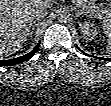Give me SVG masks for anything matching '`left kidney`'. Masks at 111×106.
<instances>
[{
	"label": "left kidney",
	"instance_id": "5707ae66",
	"mask_svg": "<svg viewBox=\"0 0 111 106\" xmlns=\"http://www.w3.org/2000/svg\"><path fill=\"white\" fill-rule=\"evenodd\" d=\"M82 37L85 39L92 40L98 35V30L94 27L93 23L83 22L79 25Z\"/></svg>",
	"mask_w": 111,
	"mask_h": 106
}]
</instances>
